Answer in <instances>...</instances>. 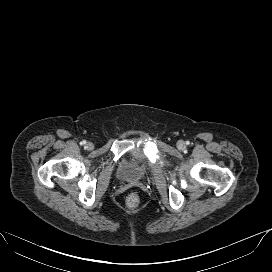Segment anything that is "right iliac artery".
<instances>
[{
    "label": "right iliac artery",
    "instance_id": "1",
    "mask_svg": "<svg viewBox=\"0 0 272 272\" xmlns=\"http://www.w3.org/2000/svg\"><path fill=\"white\" fill-rule=\"evenodd\" d=\"M80 144H81V145H85V144H86V141L83 140Z\"/></svg>",
    "mask_w": 272,
    "mask_h": 272
}]
</instances>
